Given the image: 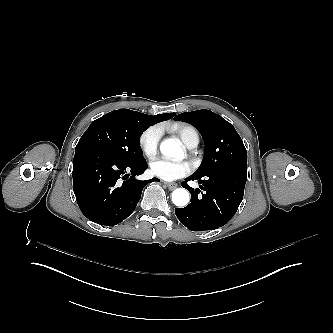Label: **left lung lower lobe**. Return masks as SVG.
Wrapping results in <instances>:
<instances>
[{
  "label": "left lung lower lobe",
  "mask_w": 333,
  "mask_h": 333,
  "mask_svg": "<svg viewBox=\"0 0 333 333\" xmlns=\"http://www.w3.org/2000/svg\"><path fill=\"white\" fill-rule=\"evenodd\" d=\"M201 179L191 175L181 183L191 193V203L175 209L180 222L192 231L217 229L234 216L243 199L247 168L228 167ZM188 180L202 183V197L198 196L200 189L191 188Z\"/></svg>",
  "instance_id": "left-lung-lower-lobe-1"
}]
</instances>
